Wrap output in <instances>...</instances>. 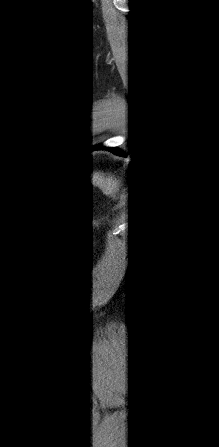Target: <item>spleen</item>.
Here are the masks:
<instances>
[{
    "label": "spleen",
    "mask_w": 219,
    "mask_h": 447,
    "mask_svg": "<svg viewBox=\"0 0 219 447\" xmlns=\"http://www.w3.org/2000/svg\"><path fill=\"white\" fill-rule=\"evenodd\" d=\"M93 184L102 190V192L113 199L121 188V180L113 175L105 176L104 174H95L93 176Z\"/></svg>",
    "instance_id": "spleen-1"
}]
</instances>
